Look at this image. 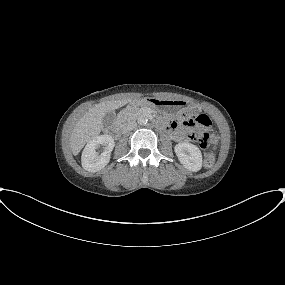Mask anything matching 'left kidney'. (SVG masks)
I'll list each match as a JSON object with an SVG mask.
<instances>
[{
	"mask_svg": "<svg viewBox=\"0 0 285 285\" xmlns=\"http://www.w3.org/2000/svg\"><path fill=\"white\" fill-rule=\"evenodd\" d=\"M174 151L185 168L197 172L202 168V154L196 145L188 142L178 143Z\"/></svg>",
	"mask_w": 285,
	"mask_h": 285,
	"instance_id": "1",
	"label": "left kidney"
}]
</instances>
